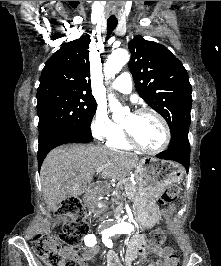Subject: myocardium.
Masks as SVG:
<instances>
[{"label": "myocardium", "mask_w": 221, "mask_h": 266, "mask_svg": "<svg viewBox=\"0 0 221 266\" xmlns=\"http://www.w3.org/2000/svg\"><path fill=\"white\" fill-rule=\"evenodd\" d=\"M145 113H149V114H152L153 116H155L159 120V122L161 123V125L163 127L164 139H163V142L160 146H158L156 148L144 147L143 145H141L137 141V139L134 137L132 132L128 128H126L125 126L122 125L123 134L125 136L126 141L133 148H135V149H137L143 153L157 154V153L164 151L168 147V145L170 143V139H171L170 128H169V125H168L167 121L165 120V118L159 112H157L156 110H154L152 108L144 107V108H140L134 112V114H136V115L145 114Z\"/></svg>", "instance_id": "obj_1"}]
</instances>
